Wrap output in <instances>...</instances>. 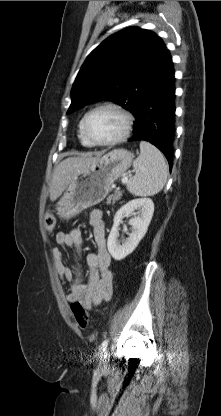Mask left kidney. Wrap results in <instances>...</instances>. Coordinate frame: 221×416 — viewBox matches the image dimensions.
<instances>
[{
    "label": "left kidney",
    "mask_w": 221,
    "mask_h": 416,
    "mask_svg": "<svg viewBox=\"0 0 221 416\" xmlns=\"http://www.w3.org/2000/svg\"><path fill=\"white\" fill-rule=\"evenodd\" d=\"M153 213L154 203L149 198L131 200L116 212L107 241L108 251L115 260H122L135 250L148 230ZM129 214L134 215L129 221L132 232L127 239L119 241L118 227L123 217Z\"/></svg>",
    "instance_id": "5707ae66"
}]
</instances>
